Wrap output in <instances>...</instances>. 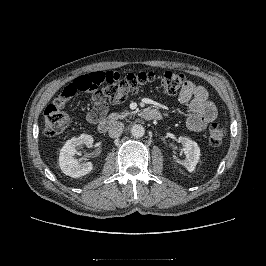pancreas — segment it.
Here are the masks:
<instances>
[{
	"label": "pancreas",
	"instance_id": "cf45deb5",
	"mask_svg": "<svg viewBox=\"0 0 266 266\" xmlns=\"http://www.w3.org/2000/svg\"><path fill=\"white\" fill-rule=\"evenodd\" d=\"M132 114H136V111L124 110L120 114H118V117L124 118V117L132 115Z\"/></svg>",
	"mask_w": 266,
	"mask_h": 266
}]
</instances>
